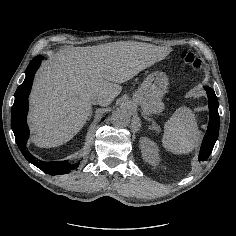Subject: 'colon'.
I'll list each match as a JSON object with an SVG mask.
<instances>
[{
  "label": "colon",
  "instance_id": "5ec220e1",
  "mask_svg": "<svg viewBox=\"0 0 236 236\" xmlns=\"http://www.w3.org/2000/svg\"><path fill=\"white\" fill-rule=\"evenodd\" d=\"M180 61L198 74L204 73L203 62L193 50H183L180 53Z\"/></svg>",
  "mask_w": 236,
  "mask_h": 236
}]
</instances>
